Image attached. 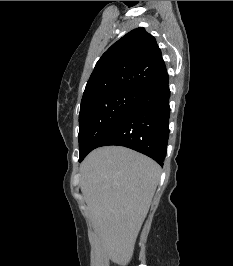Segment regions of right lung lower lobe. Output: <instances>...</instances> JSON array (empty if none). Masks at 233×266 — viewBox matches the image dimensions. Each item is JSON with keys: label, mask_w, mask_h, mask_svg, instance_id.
Segmentation results:
<instances>
[{"label": "right lung lower lobe", "mask_w": 233, "mask_h": 266, "mask_svg": "<svg viewBox=\"0 0 233 266\" xmlns=\"http://www.w3.org/2000/svg\"><path fill=\"white\" fill-rule=\"evenodd\" d=\"M168 74L147 89L131 110L97 144L120 145L141 152L163 166L169 136ZM85 156L79 158V162Z\"/></svg>", "instance_id": "right-lung-lower-lobe-1"}]
</instances>
